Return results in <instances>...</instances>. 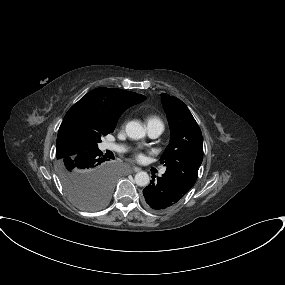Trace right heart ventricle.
Wrapping results in <instances>:
<instances>
[{
	"label": "right heart ventricle",
	"instance_id": "right-heart-ventricle-1",
	"mask_svg": "<svg viewBox=\"0 0 285 285\" xmlns=\"http://www.w3.org/2000/svg\"><path fill=\"white\" fill-rule=\"evenodd\" d=\"M147 125H159L164 127L162 120L156 115H150L147 119Z\"/></svg>",
	"mask_w": 285,
	"mask_h": 285
}]
</instances>
